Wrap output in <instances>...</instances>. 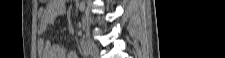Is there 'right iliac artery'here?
<instances>
[{
    "label": "right iliac artery",
    "mask_w": 225,
    "mask_h": 58,
    "mask_svg": "<svg viewBox=\"0 0 225 58\" xmlns=\"http://www.w3.org/2000/svg\"><path fill=\"white\" fill-rule=\"evenodd\" d=\"M80 51L84 57L88 56V52L86 50L85 42L83 39L80 40Z\"/></svg>",
    "instance_id": "82829eb1"
}]
</instances>
